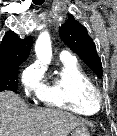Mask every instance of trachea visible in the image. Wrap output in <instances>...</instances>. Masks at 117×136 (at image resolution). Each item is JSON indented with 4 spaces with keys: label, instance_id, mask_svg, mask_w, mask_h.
<instances>
[{
    "label": "trachea",
    "instance_id": "1",
    "mask_svg": "<svg viewBox=\"0 0 117 136\" xmlns=\"http://www.w3.org/2000/svg\"><path fill=\"white\" fill-rule=\"evenodd\" d=\"M33 2L35 5H41L44 2V0H33Z\"/></svg>",
    "mask_w": 117,
    "mask_h": 136
}]
</instances>
